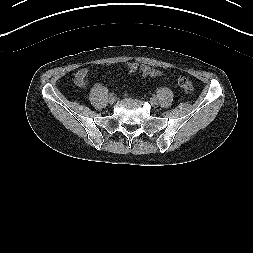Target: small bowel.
Returning a JSON list of instances; mask_svg holds the SVG:
<instances>
[{"mask_svg": "<svg viewBox=\"0 0 253 253\" xmlns=\"http://www.w3.org/2000/svg\"><path fill=\"white\" fill-rule=\"evenodd\" d=\"M127 68L130 73H141L143 76L146 77H156L161 76V72L157 69H154L147 65H139L136 62H129L127 63ZM89 78V70L87 68H81L75 74V83L78 87L84 88L88 83Z\"/></svg>", "mask_w": 253, "mask_h": 253, "instance_id": "small-bowel-1", "label": "small bowel"}]
</instances>
